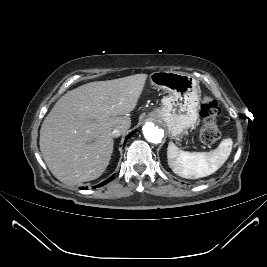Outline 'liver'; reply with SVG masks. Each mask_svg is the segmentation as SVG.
I'll return each mask as SVG.
<instances>
[{
	"mask_svg": "<svg viewBox=\"0 0 267 267\" xmlns=\"http://www.w3.org/2000/svg\"><path fill=\"white\" fill-rule=\"evenodd\" d=\"M146 74L84 84L64 94L44 119L40 151L51 173L75 185L100 177L113 152L111 130L130 125Z\"/></svg>",
	"mask_w": 267,
	"mask_h": 267,
	"instance_id": "6515ba94",
	"label": "liver"
}]
</instances>
